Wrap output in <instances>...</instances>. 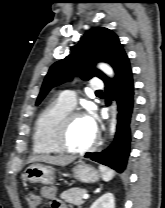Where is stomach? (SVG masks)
Masks as SVG:
<instances>
[{
	"label": "stomach",
	"mask_w": 165,
	"mask_h": 208,
	"mask_svg": "<svg viewBox=\"0 0 165 208\" xmlns=\"http://www.w3.org/2000/svg\"><path fill=\"white\" fill-rule=\"evenodd\" d=\"M73 174L82 183H94L101 177L98 170L85 163H79L75 166L73 168ZM24 177L30 183L51 185L54 182V168L40 163H34L25 169Z\"/></svg>",
	"instance_id": "1"
}]
</instances>
